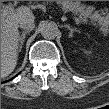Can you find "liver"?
<instances>
[{
  "label": "liver",
  "mask_w": 109,
  "mask_h": 109,
  "mask_svg": "<svg viewBox=\"0 0 109 109\" xmlns=\"http://www.w3.org/2000/svg\"><path fill=\"white\" fill-rule=\"evenodd\" d=\"M20 11L1 18V76H8L17 64L18 27L25 20H33L34 15L29 8L21 7Z\"/></svg>",
  "instance_id": "1"
}]
</instances>
